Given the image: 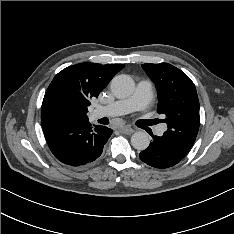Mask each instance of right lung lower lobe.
I'll use <instances>...</instances> for the list:
<instances>
[{
	"instance_id": "1",
	"label": "right lung lower lobe",
	"mask_w": 234,
	"mask_h": 234,
	"mask_svg": "<svg viewBox=\"0 0 234 234\" xmlns=\"http://www.w3.org/2000/svg\"><path fill=\"white\" fill-rule=\"evenodd\" d=\"M43 130L53 155L69 166H82L96 160L113 132L105 126L93 129L88 118L55 123Z\"/></svg>"
}]
</instances>
